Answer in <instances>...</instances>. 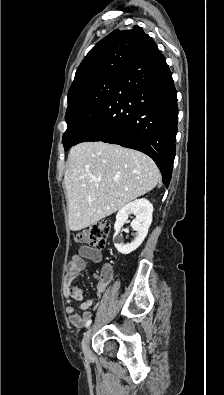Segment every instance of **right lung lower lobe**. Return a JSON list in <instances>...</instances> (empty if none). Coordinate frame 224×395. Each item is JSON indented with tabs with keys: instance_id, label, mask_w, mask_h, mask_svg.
Instances as JSON below:
<instances>
[{
	"instance_id": "1",
	"label": "right lung lower lobe",
	"mask_w": 224,
	"mask_h": 395,
	"mask_svg": "<svg viewBox=\"0 0 224 395\" xmlns=\"http://www.w3.org/2000/svg\"><path fill=\"white\" fill-rule=\"evenodd\" d=\"M176 94L165 57L147 37L75 145L103 141L141 151L155 161L168 186L175 157Z\"/></svg>"
}]
</instances>
